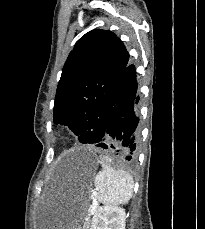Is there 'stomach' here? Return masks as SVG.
I'll list each match as a JSON object with an SVG mask.
<instances>
[{
    "label": "stomach",
    "instance_id": "0dacf381",
    "mask_svg": "<svg viewBox=\"0 0 205 229\" xmlns=\"http://www.w3.org/2000/svg\"><path fill=\"white\" fill-rule=\"evenodd\" d=\"M97 164L95 154H81V172L87 181L91 180ZM89 199L90 194H86L80 203H67L65 199L52 196L40 200L35 210V229H80Z\"/></svg>",
    "mask_w": 205,
    "mask_h": 229
}]
</instances>
